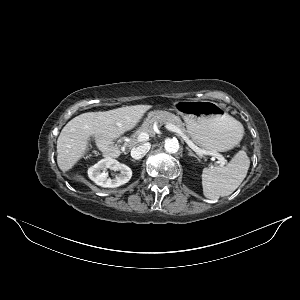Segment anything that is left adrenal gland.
I'll return each instance as SVG.
<instances>
[{"instance_id": "left-adrenal-gland-1", "label": "left adrenal gland", "mask_w": 300, "mask_h": 300, "mask_svg": "<svg viewBox=\"0 0 300 300\" xmlns=\"http://www.w3.org/2000/svg\"><path fill=\"white\" fill-rule=\"evenodd\" d=\"M186 150H188L189 156L195 157L198 161H200L199 157L195 155L189 147H186Z\"/></svg>"}]
</instances>
